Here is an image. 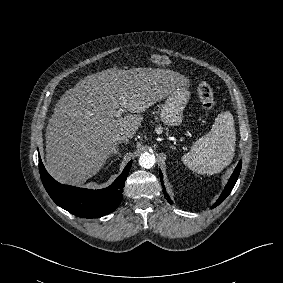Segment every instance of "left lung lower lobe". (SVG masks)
I'll return each instance as SVG.
<instances>
[{
  "instance_id": "1",
  "label": "left lung lower lobe",
  "mask_w": 283,
  "mask_h": 283,
  "mask_svg": "<svg viewBox=\"0 0 283 283\" xmlns=\"http://www.w3.org/2000/svg\"><path fill=\"white\" fill-rule=\"evenodd\" d=\"M241 165H242V161H240L237 165V167L235 168L232 176L229 179V182L227 183L224 191L222 192V194L220 195L219 199L216 201V203L213 205V207L218 206L221 202H223V200L230 194L231 190L233 189L238 177H239V173L241 171ZM160 179L161 182H163V176L160 170ZM165 195L168 197V200L170 201V198L168 196V194H166L165 189L163 188Z\"/></svg>"
}]
</instances>
